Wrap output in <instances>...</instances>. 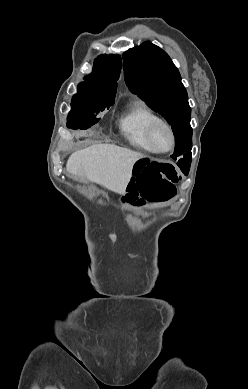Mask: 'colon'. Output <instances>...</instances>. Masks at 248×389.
Here are the masks:
<instances>
[{
	"instance_id": "5ec220e1",
	"label": "colon",
	"mask_w": 248,
	"mask_h": 389,
	"mask_svg": "<svg viewBox=\"0 0 248 389\" xmlns=\"http://www.w3.org/2000/svg\"><path fill=\"white\" fill-rule=\"evenodd\" d=\"M132 175L121 204L135 207L173 198L181 178L170 161L155 162L150 157H138Z\"/></svg>"
}]
</instances>
